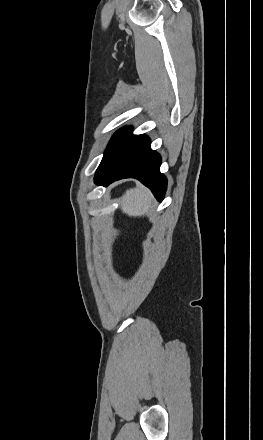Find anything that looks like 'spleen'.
<instances>
[{
	"label": "spleen",
	"instance_id": "3e777b00",
	"mask_svg": "<svg viewBox=\"0 0 263 440\" xmlns=\"http://www.w3.org/2000/svg\"><path fill=\"white\" fill-rule=\"evenodd\" d=\"M121 210L129 216H142L152 208V194L145 187L129 189L123 195Z\"/></svg>",
	"mask_w": 263,
	"mask_h": 440
}]
</instances>
